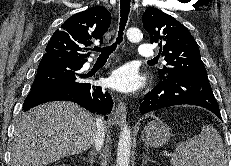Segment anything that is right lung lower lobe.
I'll use <instances>...</instances> for the list:
<instances>
[{
	"label": "right lung lower lobe",
	"instance_id": "right-lung-lower-lobe-1",
	"mask_svg": "<svg viewBox=\"0 0 231 166\" xmlns=\"http://www.w3.org/2000/svg\"><path fill=\"white\" fill-rule=\"evenodd\" d=\"M85 62L44 55L23 111L46 102L66 100L91 112L110 114L113 107L111 94L86 82L87 75L79 72Z\"/></svg>",
	"mask_w": 231,
	"mask_h": 166
}]
</instances>
